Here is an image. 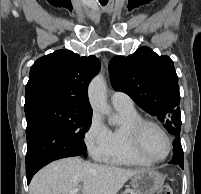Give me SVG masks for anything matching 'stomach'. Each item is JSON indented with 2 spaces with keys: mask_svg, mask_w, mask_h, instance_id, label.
Returning a JSON list of instances; mask_svg holds the SVG:
<instances>
[{
  "mask_svg": "<svg viewBox=\"0 0 201 194\" xmlns=\"http://www.w3.org/2000/svg\"><path fill=\"white\" fill-rule=\"evenodd\" d=\"M163 183L164 177L152 169H143L131 180L134 194H155Z\"/></svg>",
  "mask_w": 201,
  "mask_h": 194,
  "instance_id": "obj_1",
  "label": "stomach"
}]
</instances>
